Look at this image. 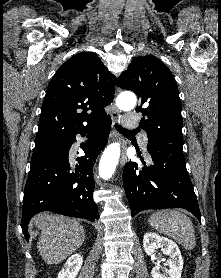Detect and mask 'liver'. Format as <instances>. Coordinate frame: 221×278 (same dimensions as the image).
<instances>
[{
	"instance_id": "6515ba94",
	"label": "liver",
	"mask_w": 221,
	"mask_h": 278,
	"mask_svg": "<svg viewBox=\"0 0 221 278\" xmlns=\"http://www.w3.org/2000/svg\"><path fill=\"white\" fill-rule=\"evenodd\" d=\"M31 222L41 230L37 248L47 264L62 262L84 242L83 226L71 218L40 213Z\"/></svg>"
}]
</instances>
